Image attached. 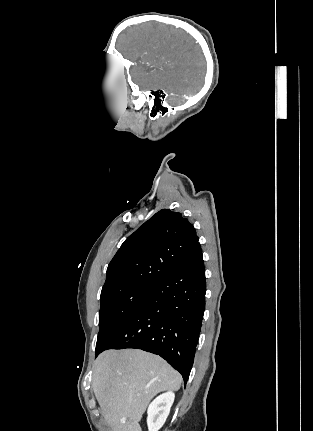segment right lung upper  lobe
Returning a JSON list of instances; mask_svg holds the SVG:
<instances>
[{"instance_id": "1", "label": "right lung upper lobe", "mask_w": 313, "mask_h": 431, "mask_svg": "<svg viewBox=\"0 0 313 431\" xmlns=\"http://www.w3.org/2000/svg\"><path fill=\"white\" fill-rule=\"evenodd\" d=\"M197 243L198 236L188 219L169 209L160 210L121 245L107 268L101 296L156 287Z\"/></svg>"}]
</instances>
